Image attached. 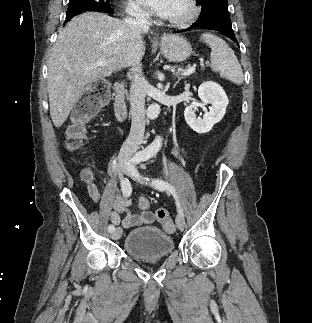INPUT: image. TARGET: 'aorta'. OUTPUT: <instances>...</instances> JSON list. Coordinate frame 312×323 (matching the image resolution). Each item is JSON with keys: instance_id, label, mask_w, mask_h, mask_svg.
Instances as JSON below:
<instances>
[{"instance_id": "aorta-1", "label": "aorta", "mask_w": 312, "mask_h": 323, "mask_svg": "<svg viewBox=\"0 0 312 323\" xmlns=\"http://www.w3.org/2000/svg\"><path fill=\"white\" fill-rule=\"evenodd\" d=\"M160 114V106L159 104H152V106H149L147 110V116L150 118V120H155V118H158ZM163 144V138L161 136H156L154 142L148 146V154H157L159 150H161Z\"/></svg>"}]
</instances>
